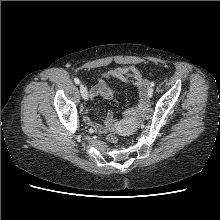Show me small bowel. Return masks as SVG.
Here are the masks:
<instances>
[{
    "label": "small bowel",
    "instance_id": "small-bowel-1",
    "mask_svg": "<svg viewBox=\"0 0 220 220\" xmlns=\"http://www.w3.org/2000/svg\"><path fill=\"white\" fill-rule=\"evenodd\" d=\"M112 79H119L124 82L131 81L134 84L140 99L138 110H144L147 107L146 93L150 82L143 77L141 70L136 66L119 67L106 71L98 79L97 85L90 90V97L93 99L100 96L108 100L113 99L114 91L109 85V82ZM111 118L112 114H109V119ZM84 121L91 127L95 128L98 132H104L108 126V124H99L94 121L90 117L88 110L85 111Z\"/></svg>",
    "mask_w": 220,
    "mask_h": 220
}]
</instances>
